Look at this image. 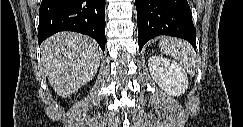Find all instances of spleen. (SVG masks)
Wrapping results in <instances>:
<instances>
[{"label": "spleen", "instance_id": "spleen-1", "mask_svg": "<svg viewBox=\"0 0 243 127\" xmlns=\"http://www.w3.org/2000/svg\"><path fill=\"white\" fill-rule=\"evenodd\" d=\"M161 46L164 53L179 61L190 75L193 76L195 74V53L190 44L175 38H164Z\"/></svg>", "mask_w": 243, "mask_h": 127}]
</instances>
